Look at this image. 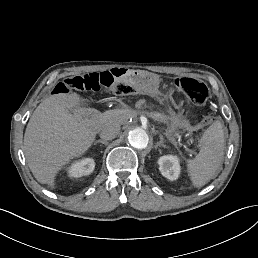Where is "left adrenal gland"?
<instances>
[{"label":"left adrenal gland","instance_id":"obj_1","mask_svg":"<svg viewBox=\"0 0 258 258\" xmlns=\"http://www.w3.org/2000/svg\"><path fill=\"white\" fill-rule=\"evenodd\" d=\"M159 145L166 147V144L163 142V139H162V138H160V139L155 143V148H158Z\"/></svg>","mask_w":258,"mask_h":258}]
</instances>
